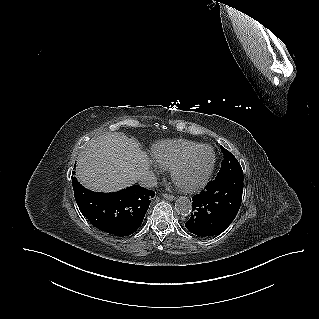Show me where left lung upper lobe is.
Returning a JSON list of instances; mask_svg holds the SVG:
<instances>
[{"label": "left lung upper lobe", "instance_id": "left-lung-upper-lobe-1", "mask_svg": "<svg viewBox=\"0 0 319 319\" xmlns=\"http://www.w3.org/2000/svg\"><path fill=\"white\" fill-rule=\"evenodd\" d=\"M224 155L221 168L215 179L224 177L228 174H242V168L235 156L224 147L220 146Z\"/></svg>", "mask_w": 319, "mask_h": 319}]
</instances>
